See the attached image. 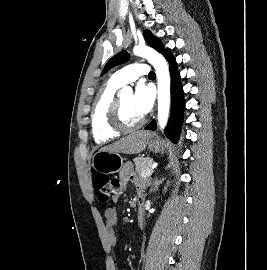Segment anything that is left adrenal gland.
Returning <instances> with one entry per match:
<instances>
[{
	"mask_svg": "<svg viewBox=\"0 0 267 270\" xmlns=\"http://www.w3.org/2000/svg\"><path fill=\"white\" fill-rule=\"evenodd\" d=\"M163 180V178H162ZM162 180H157V178L154 180V187L157 188L158 185L161 183Z\"/></svg>",
	"mask_w": 267,
	"mask_h": 270,
	"instance_id": "obj_1",
	"label": "left adrenal gland"
}]
</instances>
